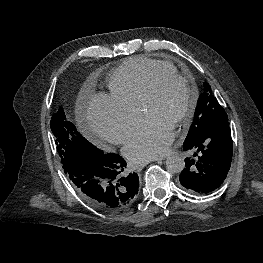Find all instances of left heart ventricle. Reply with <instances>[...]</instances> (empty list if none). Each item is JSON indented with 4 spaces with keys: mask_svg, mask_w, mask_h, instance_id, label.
<instances>
[{
    "mask_svg": "<svg viewBox=\"0 0 263 263\" xmlns=\"http://www.w3.org/2000/svg\"><path fill=\"white\" fill-rule=\"evenodd\" d=\"M189 104V92L179 80H164L154 96L146 105L144 113L147 117L158 118L172 129L185 112Z\"/></svg>",
    "mask_w": 263,
    "mask_h": 263,
    "instance_id": "1",
    "label": "left heart ventricle"
}]
</instances>
